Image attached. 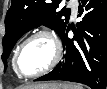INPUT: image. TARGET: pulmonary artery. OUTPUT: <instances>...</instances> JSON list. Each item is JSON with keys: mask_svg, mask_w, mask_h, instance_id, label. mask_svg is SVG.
<instances>
[{"mask_svg": "<svg viewBox=\"0 0 107 89\" xmlns=\"http://www.w3.org/2000/svg\"><path fill=\"white\" fill-rule=\"evenodd\" d=\"M70 6L72 8V17L75 18L78 10V3L76 0H72L70 2Z\"/></svg>", "mask_w": 107, "mask_h": 89, "instance_id": "pulmonary-artery-1", "label": "pulmonary artery"}]
</instances>
